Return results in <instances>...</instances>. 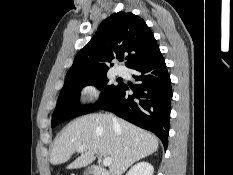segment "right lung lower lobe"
Segmentation results:
<instances>
[{
	"label": "right lung lower lobe",
	"mask_w": 233,
	"mask_h": 175,
	"mask_svg": "<svg viewBox=\"0 0 233 175\" xmlns=\"http://www.w3.org/2000/svg\"><path fill=\"white\" fill-rule=\"evenodd\" d=\"M139 74L134 76L141 84L128 94L122 84L113 97L99 109L107 110L141 128L149 130L168 146L171 111V80L161 52L131 67Z\"/></svg>",
	"instance_id": "right-lung-lower-lobe-1"
}]
</instances>
